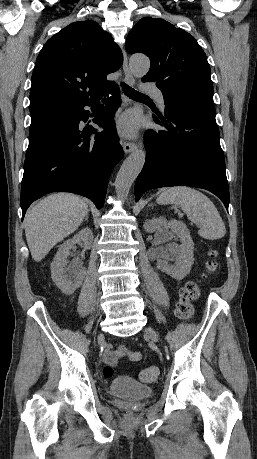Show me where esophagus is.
<instances>
[{
	"mask_svg": "<svg viewBox=\"0 0 257 459\" xmlns=\"http://www.w3.org/2000/svg\"><path fill=\"white\" fill-rule=\"evenodd\" d=\"M123 72H124V76H125V81L126 83H128L129 85H133L135 83V80L133 78V75L129 69V66H128V58H127V54L126 52L124 51V57H123ZM137 149V143L135 142H129V141H124L123 142V150L126 154L130 153V152H133Z\"/></svg>",
	"mask_w": 257,
	"mask_h": 459,
	"instance_id": "esophagus-1",
	"label": "esophagus"
}]
</instances>
